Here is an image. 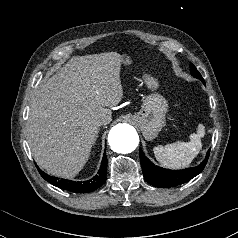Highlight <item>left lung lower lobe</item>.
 <instances>
[{
    "mask_svg": "<svg viewBox=\"0 0 238 238\" xmlns=\"http://www.w3.org/2000/svg\"><path fill=\"white\" fill-rule=\"evenodd\" d=\"M210 149L208 150L205 159L201 164L196 167H190L183 170H169L154 165L143 153L140 148V162L144 174V178L147 182L153 186L160 188H169L177 185H181L190 181L197 176L205 167Z\"/></svg>",
    "mask_w": 238,
    "mask_h": 238,
    "instance_id": "left-lung-lower-lobe-1",
    "label": "left lung lower lobe"
}]
</instances>
